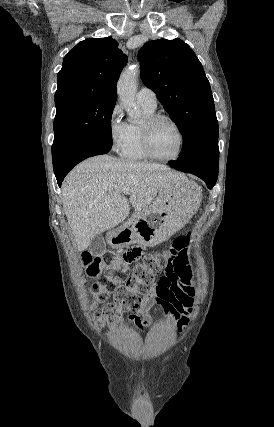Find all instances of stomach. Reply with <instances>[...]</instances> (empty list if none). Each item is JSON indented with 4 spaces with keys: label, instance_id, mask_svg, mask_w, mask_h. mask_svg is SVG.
Masks as SVG:
<instances>
[{
    "label": "stomach",
    "instance_id": "obj_1",
    "mask_svg": "<svg viewBox=\"0 0 274 427\" xmlns=\"http://www.w3.org/2000/svg\"><path fill=\"white\" fill-rule=\"evenodd\" d=\"M175 186H178L177 190ZM170 192L172 194L165 200L157 198L147 210L131 215L123 225L108 231L109 245L115 249L128 247L131 243L153 247L173 235L177 231L176 215H184L185 221H188L199 208L200 198L198 186L185 178L172 182Z\"/></svg>",
    "mask_w": 274,
    "mask_h": 427
}]
</instances>
